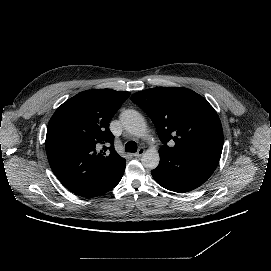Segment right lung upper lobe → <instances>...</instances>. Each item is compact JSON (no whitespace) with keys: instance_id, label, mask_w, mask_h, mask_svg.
<instances>
[{"instance_id":"1","label":"right lung upper lobe","mask_w":271,"mask_h":271,"mask_svg":"<svg viewBox=\"0 0 271 271\" xmlns=\"http://www.w3.org/2000/svg\"><path fill=\"white\" fill-rule=\"evenodd\" d=\"M129 96L112 89L87 90L64 102L51 117L45 142L48 161L72 193L98 195L123 175L126 160L114 149L109 122Z\"/></svg>"}]
</instances>
